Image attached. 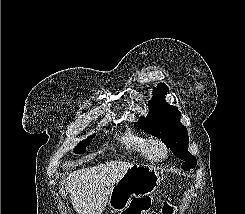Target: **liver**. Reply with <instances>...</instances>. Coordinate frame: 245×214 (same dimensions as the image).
I'll list each match as a JSON object with an SVG mask.
<instances>
[{"mask_svg":"<svg viewBox=\"0 0 245 214\" xmlns=\"http://www.w3.org/2000/svg\"><path fill=\"white\" fill-rule=\"evenodd\" d=\"M134 164L109 161L68 174L62 194H70L77 214H102L113 186Z\"/></svg>","mask_w":245,"mask_h":214,"instance_id":"liver-1","label":"liver"}]
</instances>
